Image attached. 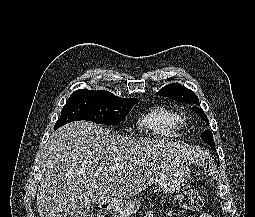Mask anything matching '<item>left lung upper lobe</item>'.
I'll return each mask as SVG.
<instances>
[{
    "instance_id": "1",
    "label": "left lung upper lobe",
    "mask_w": 255,
    "mask_h": 217,
    "mask_svg": "<svg viewBox=\"0 0 255 217\" xmlns=\"http://www.w3.org/2000/svg\"><path fill=\"white\" fill-rule=\"evenodd\" d=\"M157 94L179 102H185L194 105L193 110L206 122L207 125H209L207 116L201 108L197 107L200 104L198 96L190 89H187L178 83H171L160 89ZM201 138L215 150V143L210 130L203 132L201 134Z\"/></svg>"
}]
</instances>
